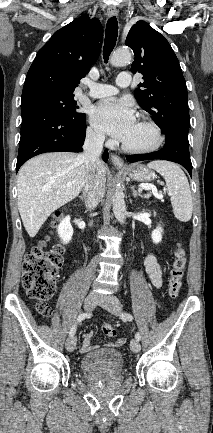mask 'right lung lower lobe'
I'll list each match as a JSON object with an SVG mask.
<instances>
[{"label": "right lung lower lobe", "mask_w": 213, "mask_h": 433, "mask_svg": "<svg viewBox=\"0 0 213 433\" xmlns=\"http://www.w3.org/2000/svg\"><path fill=\"white\" fill-rule=\"evenodd\" d=\"M21 138L16 172L28 159L45 152H81L86 118L74 123L54 110L36 104H23ZM103 160H108L104 152Z\"/></svg>", "instance_id": "98d812e1"}]
</instances>
